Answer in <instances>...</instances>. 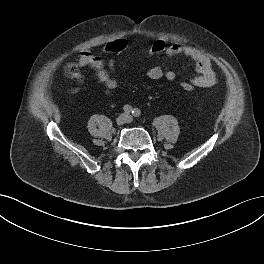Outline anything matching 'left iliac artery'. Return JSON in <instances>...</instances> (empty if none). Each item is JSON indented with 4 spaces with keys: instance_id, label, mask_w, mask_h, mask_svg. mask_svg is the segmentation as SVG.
<instances>
[{
    "instance_id": "1",
    "label": "left iliac artery",
    "mask_w": 264,
    "mask_h": 264,
    "mask_svg": "<svg viewBox=\"0 0 264 264\" xmlns=\"http://www.w3.org/2000/svg\"><path fill=\"white\" fill-rule=\"evenodd\" d=\"M132 114H133V116L138 117V116L141 114V112H140L139 109L135 108V109L132 111Z\"/></svg>"
}]
</instances>
